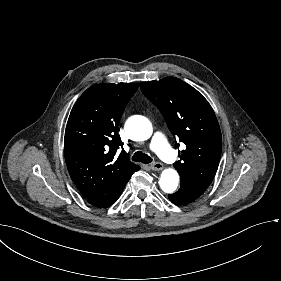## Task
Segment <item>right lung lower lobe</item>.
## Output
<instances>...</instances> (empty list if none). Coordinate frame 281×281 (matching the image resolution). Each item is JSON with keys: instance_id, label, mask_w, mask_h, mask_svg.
I'll return each instance as SVG.
<instances>
[{"instance_id": "right-lung-lower-lobe-1", "label": "right lung lower lobe", "mask_w": 281, "mask_h": 281, "mask_svg": "<svg viewBox=\"0 0 281 281\" xmlns=\"http://www.w3.org/2000/svg\"><path fill=\"white\" fill-rule=\"evenodd\" d=\"M139 169H140V167H139ZM132 174L120 179L119 181L112 184L107 189L87 198V201L96 207L102 208V207L110 206L120 197L125 185L129 181Z\"/></svg>"}]
</instances>
